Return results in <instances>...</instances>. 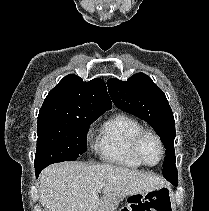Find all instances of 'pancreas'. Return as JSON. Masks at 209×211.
I'll use <instances>...</instances> for the list:
<instances>
[{"label": "pancreas", "mask_w": 209, "mask_h": 211, "mask_svg": "<svg viewBox=\"0 0 209 211\" xmlns=\"http://www.w3.org/2000/svg\"><path fill=\"white\" fill-rule=\"evenodd\" d=\"M101 202L105 207L104 211H114L118 206V201L110 194H108Z\"/></svg>", "instance_id": "pancreas-1"}]
</instances>
